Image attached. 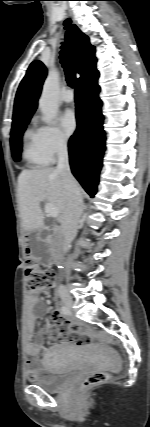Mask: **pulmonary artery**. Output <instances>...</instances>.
<instances>
[{"instance_id": "e3ab8cb5", "label": "pulmonary artery", "mask_w": 150, "mask_h": 427, "mask_svg": "<svg viewBox=\"0 0 150 427\" xmlns=\"http://www.w3.org/2000/svg\"><path fill=\"white\" fill-rule=\"evenodd\" d=\"M74 99L73 93L70 90H66L62 95V100L64 102L70 103Z\"/></svg>"}]
</instances>
